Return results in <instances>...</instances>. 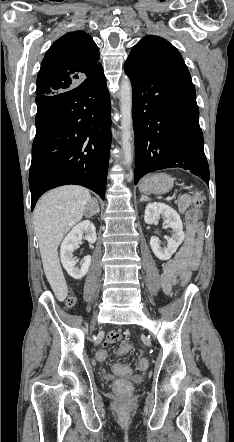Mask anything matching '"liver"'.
I'll list each match as a JSON object with an SVG mask.
<instances>
[{
	"instance_id": "obj_1",
	"label": "liver",
	"mask_w": 234,
	"mask_h": 442,
	"mask_svg": "<svg viewBox=\"0 0 234 442\" xmlns=\"http://www.w3.org/2000/svg\"><path fill=\"white\" fill-rule=\"evenodd\" d=\"M90 200L86 188L67 185L42 196L34 210V229L44 273L59 301L66 299L68 287L58 257V246L66 233L82 219Z\"/></svg>"
}]
</instances>
